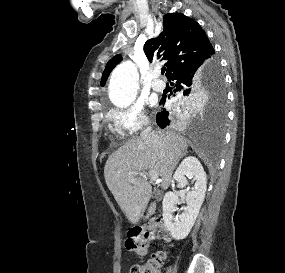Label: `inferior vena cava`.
<instances>
[{
  "label": "inferior vena cava",
  "instance_id": "1",
  "mask_svg": "<svg viewBox=\"0 0 285 273\" xmlns=\"http://www.w3.org/2000/svg\"><path fill=\"white\" fill-rule=\"evenodd\" d=\"M158 133H159V132H154V131H152V130H151V127L147 125V126L142 130V132H141V134H140V137H141L142 139H149V140H151V141L153 142L154 145H157V146H158V145L160 144L159 141H158V139H159Z\"/></svg>",
  "mask_w": 285,
  "mask_h": 273
}]
</instances>
